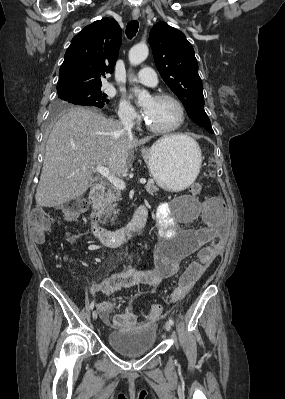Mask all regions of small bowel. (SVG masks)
<instances>
[{
	"label": "small bowel",
	"mask_w": 285,
	"mask_h": 399,
	"mask_svg": "<svg viewBox=\"0 0 285 399\" xmlns=\"http://www.w3.org/2000/svg\"><path fill=\"white\" fill-rule=\"evenodd\" d=\"M142 205L148 210L146 204ZM182 212L184 216L174 214L169 202H161L157 205L155 219L160 238L153 247L151 269L141 270L129 267L92 283L93 289H99L106 295V299L99 302L96 308L107 326L119 330H130L143 325L137 322V315L132 310L110 316L112 309L110 298L114 292L131 287L154 286L165 278L174 277L180 274V265L185 258L195 251L197 257L200 258L204 246L221 240L220 229L224 223V211L218 198H207L199 205L188 204L183 207ZM198 218H201L204 223L201 228L193 226ZM181 223L190 226L181 227ZM188 294L189 292L181 296L178 289H175L172 302L177 303ZM138 297H140L139 294L133 295L132 300ZM148 320L153 321L149 318Z\"/></svg>",
	"instance_id": "c3829d8e"
}]
</instances>
